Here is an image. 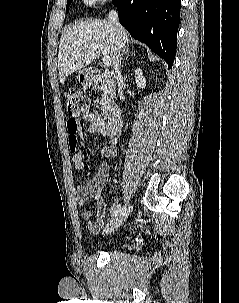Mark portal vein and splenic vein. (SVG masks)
<instances>
[{
    "label": "portal vein and splenic vein",
    "mask_w": 239,
    "mask_h": 303,
    "mask_svg": "<svg viewBox=\"0 0 239 303\" xmlns=\"http://www.w3.org/2000/svg\"><path fill=\"white\" fill-rule=\"evenodd\" d=\"M93 49H99V50H101L102 51V53H103V64L105 65V66H110L111 65V59H110V57H109V55H107L108 53H107V48L104 46V45H96V46H93L92 47Z\"/></svg>",
    "instance_id": "1"
}]
</instances>
